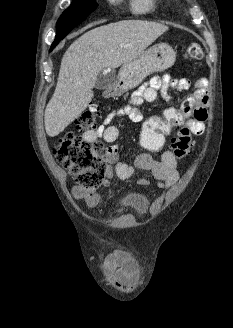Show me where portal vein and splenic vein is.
<instances>
[{
	"label": "portal vein and splenic vein",
	"instance_id": "obj_1",
	"mask_svg": "<svg viewBox=\"0 0 233 328\" xmlns=\"http://www.w3.org/2000/svg\"><path fill=\"white\" fill-rule=\"evenodd\" d=\"M119 47H120V48H123V47H124V44H123V43H122V44H120V45H119Z\"/></svg>",
	"mask_w": 233,
	"mask_h": 328
}]
</instances>
